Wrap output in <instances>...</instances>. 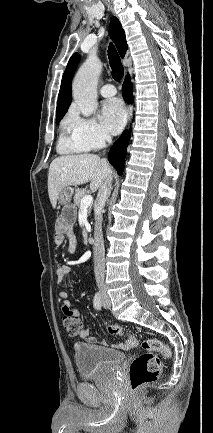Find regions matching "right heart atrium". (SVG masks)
Masks as SVG:
<instances>
[{
  "label": "right heart atrium",
  "mask_w": 213,
  "mask_h": 433,
  "mask_svg": "<svg viewBox=\"0 0 213 433\" xmlns=\"http://www.w3.org/2000/svg\"><path fill=\"white\" fill-rule=\"evenodd\" d=\"M72 136L89 150L102 148L110 139L105 129L93 117H82L73 111L67 118Z\"/></svg>",
  "instance_id": "d8ad5b80"
}]
</instances>
